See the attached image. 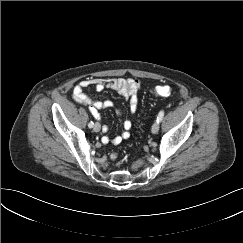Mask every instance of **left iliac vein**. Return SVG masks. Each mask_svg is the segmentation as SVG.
<instances>
[{
	"mask_svg": "<svg viewBox=\"0 0 243 243\" xmlns=\"http://www.w3.org/2000/svg\"><path fill=\"white\" fill-rule=\"evenodd\" d=\"M151 131H152L153 134H156L159 131V123L158 122H155L152 125Z\"/></svg>",
	"mask_w": 243,
	"mask_h": 243,
	"instance_id": "obj_1",
	"label": "left iliac vein"
}]
</instances>
